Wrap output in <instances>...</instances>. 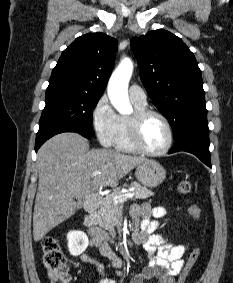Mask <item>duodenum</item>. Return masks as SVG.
I'll return each mask as SVG.
<instances>
[{"instance_id": "duodenum-1", "label": "duodenum", "mask_w": 233, "mask_h": 283, "mask_svg": "<svg viewBox=\"0 0 233 283\" xmlns=\"http://www.w3.org/2000/svg\"><path fill=\"white\" fill-rule=\"evenodd\" d=\"M101 200L95 195H90L85 201V211L86 215L84 218V224L90 230L97 229L96 214L100 208ZM142 240L140 233L133 234V241L135 244H140Z\"/></svg>"}]
</instances>
